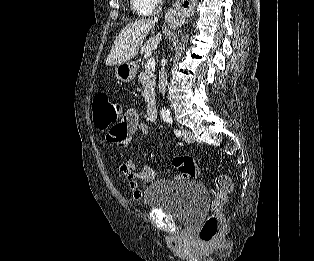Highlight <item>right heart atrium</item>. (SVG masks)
Segmentation results:
<instances>
[{
  "mask_svg": "<svg viewBox=\"0 0 314 261\" xmlns=\"http://www.w3.org/2000/svg\"><path fill=\"white\" fill-rule=\"evenodd\" d=\"M152 5L156 8L163 0H150Z\"/></svg>",
  "mask_w": 314,
  "mask_h": 261,
  "instance_id": "right-heart-atrium-1",
  "label": "right heart atrium"
}]
</instances>
